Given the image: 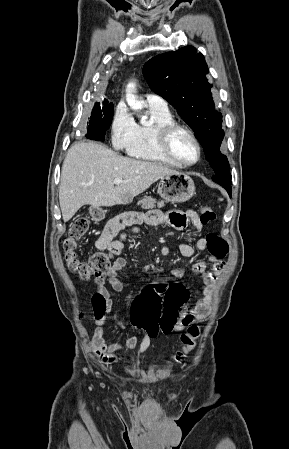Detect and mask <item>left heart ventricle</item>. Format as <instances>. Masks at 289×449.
Segmentation results:
<instances>
[{
    "label": "left heart ventricle",
    "mask_w": 289,
    "mask_h": 449,
    "mask_svg": "<svg viewBox=\"0 0 289 449\" xmlns=\"http://www.w3.org/2000/svg\"><path fill=\"white\" fill-rule=\"evenodd\" d=\"M175 156L183 162H193L197 158V148L193 141L183 132L175 134L172 140Z\"/></svg>",
    "instance_id": "1"
}]
</instances>
